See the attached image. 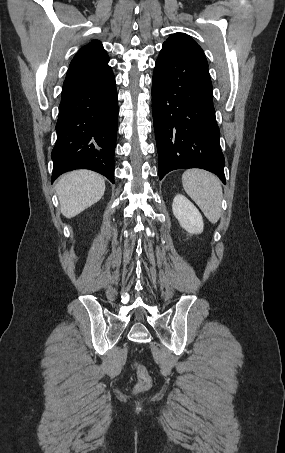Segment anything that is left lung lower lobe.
<instances>
[{
    "label": "left lung lower lobe",
    "mask_w": 285,
    "mask_h": 453,
    "mask_svg": "<svg viewBox=\"0 0 285 453\" xmlns=\"http://www.w3.org/2000/svg\"><path fill=\"white\" fill-rule=\"evenodd\" d=\"M152 113L160 180L175 169L201 168L226 183L208 65L163 46L152 80Z\"/></svg>",
    "instance_id": "0a47b994"
}]
</instances>
